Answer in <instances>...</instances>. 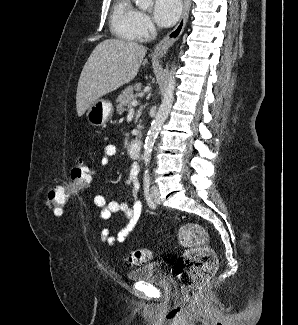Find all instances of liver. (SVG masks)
<instances>
[{
  "label": "liver",
  "mask_w": 298,
  "mask_h": 325,
  "mask_svg": "<svg viewBox=\"0 0 298 325\" xmlns=\"http://www.w3.org/2000/svg\"><path fill=\"white\" fill-rule=\"evenodd\" d=\"M146 52L147 46L133 40L106 38L99 42L88 56L79 76L76 90L78 116H83L101 96L133 80Z\"/></svg>",
  "instance_id": "6515ba94"
}]
</instances>
